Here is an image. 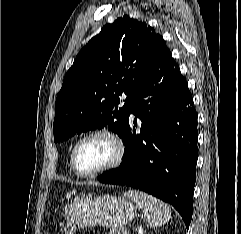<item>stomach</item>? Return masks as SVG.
<instances>
[{
	"instance_id": "obj_1",
	"label": "stomach",
	"mask_w": 241,
	"mask_h": 234,
	"mask_svg": "<svg viewBox=\"0 0 241 234\" xmlns=\"http://www.w3.org/2000/svg\"><path fill=\"white\" fill-rule=\"evenodd\" d=\"M136 208L128 199L114 195L81 197L74 200L67 213L70 229L65 234H74L77 228L101 225L120 229L134 219Z\"/></svg>"
}]
</instances>
